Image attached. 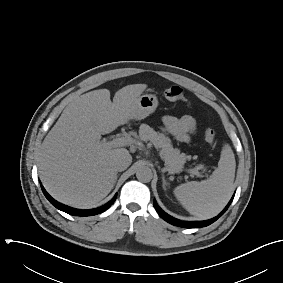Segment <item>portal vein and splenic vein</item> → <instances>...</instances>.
<instances>
[{
	"mask_svg": "<svg viewBox=\"0 0 283 283\" xmlns=\"http://www.w3.org/2000/svg\"><path fill=\"white\" fill-rule=\"evenodd\" d=\"M135 140L132 137H118L115 138L109 142H104L103 145L109 147V148H116V147H123V146H131L133 144H135ZM160 157L163 159L162 153H160ZM168 171L172 172L169 168L167 169ZM188 173L196 175L198 177H202V175L200 174V172L192 170V169H188L186 170Z\"/></svg>",
	"mask_w": 283,
	"mask_h": 283,
	"instance_id": "1",
	"label": "portal vein and splenic vein"
}]
</instances>
